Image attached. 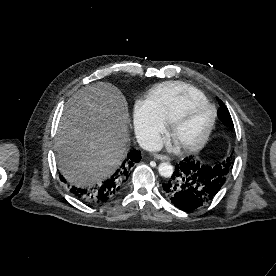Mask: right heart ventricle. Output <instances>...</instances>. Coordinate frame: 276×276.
I'll return each mask as SVG.
<instances>
[{"mask_svg": "<svg viewBox=\"0 0 276 276\" xmlns=\"http://www.w3.org/2000/svg\"><path fill=\"white\" fill-rule=\"evenodd\" d=\"M193 99H206V97L189 84L171 81L153 88L146 103L158 119L170 123L173 117Z\"/></svg>", "mask_w": 276, "mask_h": 276, "instance_id": "e07e8e85", "label": "right heart ventricle"}]
</instances>
